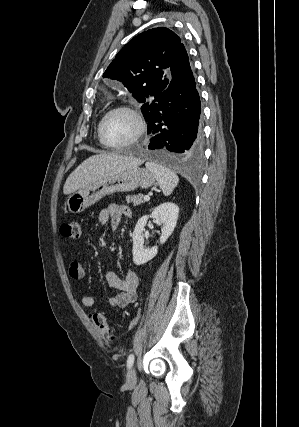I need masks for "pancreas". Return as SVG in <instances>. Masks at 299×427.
Masks as SVG:
<instances>
[{
  "label": "pancreas",
  "mask_w": 299,
  "mask_h": 427,
  "mask_svg": "<svg viewBox=\"0 0 299 427\" xmlns=\"http://www.w3.org/2000/svg\"><path fill=\"white\" fill-rule=\"evenodd\" d=\"M126 201H127V203L133 204V206L140 205L144 202L143 201V194L127 196Z\"/></svg>",
  "instance_id": "cf45deb5"
}]
</instances>
